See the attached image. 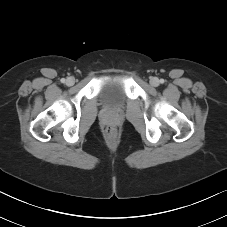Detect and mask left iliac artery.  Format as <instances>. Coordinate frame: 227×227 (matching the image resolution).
I'll return each mask as SVG.
<instances>
[{
    "label": "left iliac artery",
    "instance_id": "44dca946",
    "mask_svg": "<svg viewBox=\"0 0 227 227\" xmlns=\"http://www.w3.org/2000/svg\"><path fill=\"white\" fill-rule=\"evenodd\" d=\"M160 83H164V80L163 79H160Z\"/></svg>",
    "mask_w": 227,
    "mask_h": 227
}]
</instances>
